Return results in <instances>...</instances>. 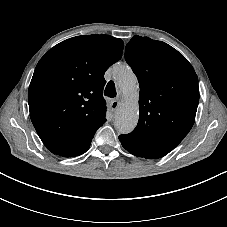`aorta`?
I'll use <instances>...</instances> for the list:
<instances>
[{
  "instance_id": "aorta-1",
  "label": "aorta",
  "mask_w": 227,
  "mask_h": 227,
  "mask_svg": "<svg viewBox=\"0 0 227 227\" xmlns=\"http://www.w3.org/2000/svg\"><path fill=\"white\" fill-rule=\"evenodd\" d=\"M113 76L122 91L125 101L115 115V128L121 134L134 130L139 119V90L137 78L127 64H118L113 68Z\"/></svg>"
}]
</instances>
